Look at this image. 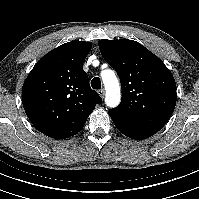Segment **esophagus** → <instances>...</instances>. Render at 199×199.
<instances>
[{
  "instance_id": "obj_1",
  "label": "esophagus",
  "mask_w": 199,
  "mask_h": 199,
  "mask_svg": "<svg viewBox=\"0 0 199 199\" xmlns=\"http://www.w3.org/2000/svg\"><path fill=\"white\" fill-rule=\"evenodd\" d=\"M98 94L100 95V97L104 98V96H105V90L104 89H100L98 91Z\"/></svg>"
}]
</instances>
